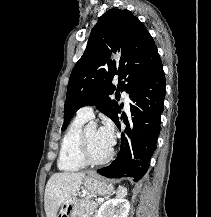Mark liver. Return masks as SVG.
Here are the masks:
<instances>
[{
  "label": "liver",
  "mask_w": 211,
  "mask_h": 217,
  "mask_svg": "<svg viewBox=\"0 0 211 217\" xmlns=\"http://www.w3.org/2000/svg\"><path fill=\"white\" fill-rule=\"evenodd\" d=\"M84 177L83 172H60L50 177L44 195L46 217H57L60 206L76 194Z\"/></svg>",
  "instance_id": "obj_1"
}]
</instances>
